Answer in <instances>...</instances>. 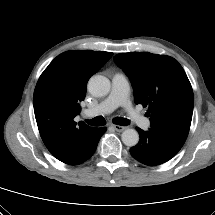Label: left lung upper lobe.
I'll return each mask as SVG.
<instances>
[{
    "label": "left lung upper lobe",
    "instance_id": "obj_1",
    "mask_svg": "<svg viewBox=\"0 0 215 215\" xmlns=\"http://www.w3.org/2000/svg\"><path fill=\"white\" fill-rule=\"evenodd\" d=\"M114 61L130 78L135 103L148 107L150 129L182 147L194 105L193 90L182 66L170 56L148 52L120 53Z\"/></svg>",
    "mask_w": 215,
    "mask_h": 215
}]
</instances>
